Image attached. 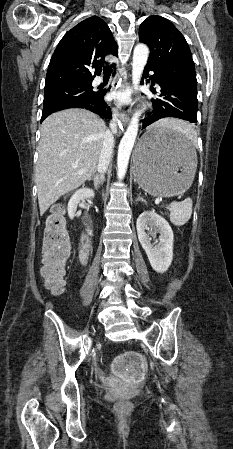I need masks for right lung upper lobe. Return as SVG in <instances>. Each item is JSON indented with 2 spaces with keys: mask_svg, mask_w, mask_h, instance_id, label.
<instances>
[{
  "mask_svg": "<svg viewBox=\"0 0 233 449\" xmlns=\"http://www.w3.org/2000/svg\"><path fill=\"white\" fill-rule=\"evenodd\" d=\"M117 56V44L107 24L99 17H89L69 32L59 42L50 60L45 91L66 85L89 84L105 62L106 55Z\"/></svg>",
  "mask_w": 233,
  "mask_h": 449,
  "instance_id": "1",
  "label": "right lung upper lobe"
}]
</instances>
